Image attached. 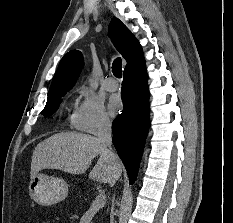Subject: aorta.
<instances>
[{"label":"aorta","instance_id":"762f6f07","mask_svg":"<svg viewBox=\"0 0 233 223\" xmlns=\"http://www.w3.org/2000/svg\"><path fill=\"white\" fill-rule=\"evenodd\" d=\"M89 82H90V86H91L92 90H97L98 80H94V78H93V80H89Z\"/></svg>","mask_w":233,"mask_h":223}]
</instances>
